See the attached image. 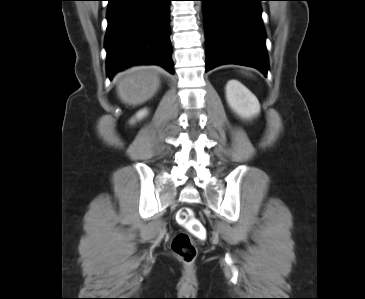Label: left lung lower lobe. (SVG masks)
<instances>
[{"mask_svg":"<svg viewBox=\"0 0 365 299\" xmlns=\"http://www.w3.org/2000/svg\"><path fill=\"white\" fill-rule=\"evenodd\" d=\"M206 36V72L222 64L268 70L263 0H200Z\"/></svg>","mask_w":365,"mask_h":299,"instance_id":"0a47b994","label":"left lung lower lobe"}]
</instances>
